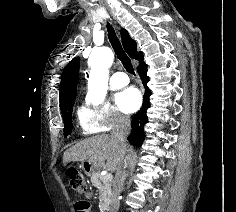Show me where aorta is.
Here are the masks:
<instances>
[{
  "mask_svg": "<svg viewBox=\"0 0 236 212\" xmlns=\"http://www.w3.org/2000/svg\"><path fill=\"white\" fill-rule=\"evenodd\" d=\"M114 54L108 47L94 50L88 59L91 68L88 79L89 101L98 105L105 99L108 89L109 67L112 65Z\"/></svg>",
  "mask_w": 236,
  "mask_h": 212,
  "instance_id": "762f6f07",
  "label": "aorta"
}]
</instances>
